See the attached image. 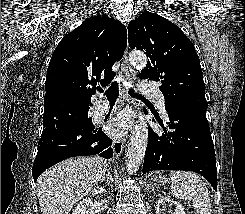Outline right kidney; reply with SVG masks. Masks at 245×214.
<instances>
[{"label":"right kidney","mask_w":245,"mask_h":214,"mask_svg":"<svg viewBox=\"0 0 245 214\" xmlns=\"http://www.w3.org/2000/svg\"><path fill=\"white\" fill-rule=\"evenodd\" d=\"M105 191L106 190L104 189V187H97V189L94 188L93 193L99 194ZM72 214H94V205L92 199L86 198L80 201V203L73 210Z\"/></svg>","instance_id":"1"}]
</instances>
